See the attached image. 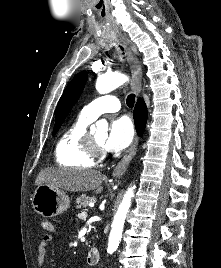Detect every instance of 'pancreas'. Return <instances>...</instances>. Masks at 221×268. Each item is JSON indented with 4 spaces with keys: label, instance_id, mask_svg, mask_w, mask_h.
I'll list each match as a JSON object with an SVG mask.
<instances>
[{
    "label": "pancreas",
    "instance_id": "pancreas-1",
    "mask_svg": "<svg viewBox=\"0 0 221 268\" xmlns=\"http://www.w3.org/2000/svg\"><path fill=\"white\" fill-rule=\"evenodd\" d=\"M95 201L94 196L81 195L75 201L77 208H86L90 202Z\"/></svg>",
    "mask_w": 221,
    "mask_h": 268
}]
</instances>
